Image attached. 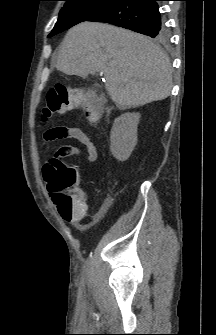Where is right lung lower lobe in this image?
<instances>
[{"instance_id":"right-lung-lower-lobe-1","label":"right lung lower lobe","mask_w":216,"mask_h":335,"mask_svg":"<svg viewBox=\"0 0 216 335\" xmlns=\"http://www.w3.org/2000/svg\"><path fill=\"white\" fill-rule=\"evenodd\" d=\"M157 1L116 0L88 21L106 22L156 38L166 30Z\"/></svg>"}]
</instances>
